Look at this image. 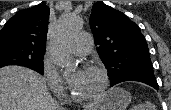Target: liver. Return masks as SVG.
<instances>
[{"instance_id":"6515ba94","label":"liver","mask_w":171,"mask_h":110,"mask_svg":"<svg viewBox=\"0 0 171 110\" xmlns=\"http://www.w3.org/2000/svg\"><path fill=\"white\" fill-rule=\"evenodd\" d=\"M0 110L61 109L41 75L25 67L7 66L0 69Z\"/></svg>"}]
</instances>
